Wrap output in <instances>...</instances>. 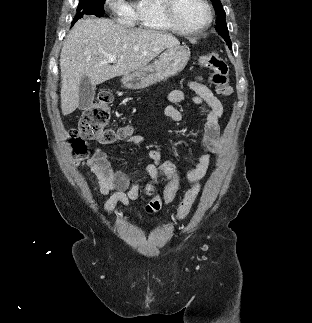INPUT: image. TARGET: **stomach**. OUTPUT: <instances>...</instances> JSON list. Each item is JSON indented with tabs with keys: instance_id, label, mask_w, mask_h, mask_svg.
Masks as SVG:
<instances>
[{
	"instance_id": "obj_1",
	"label": "stomach",
	"mask_w": 312,
	"mask_h": 323,
	"mask_svg": "<svg viewBox=\"0 0 312 323\" xmlns=\"http://www.w3.org/2000/svg\"><path fill=\"white\" fill-rule=\"evenodd\" d=\"M190 56V50L186 46H179V44L178 46H170L154 64L140 68L132 74H124L122 82L129 90L148 88L154 82H161L171 76H177L187 66Z\"/></svg>"
}]
</instances>
